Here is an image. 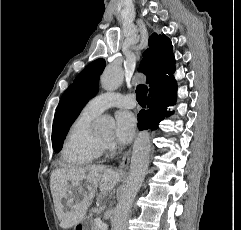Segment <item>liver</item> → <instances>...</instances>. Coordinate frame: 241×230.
Returning a JSON list of instances; mask_svg holds the SVG:
<instances>
[{"label": "liver", "mask_w": 241, "mask_h": 230, "mask_svg": "<svg viewBox=\"0 0 241 230\" xmlns=\"http://www.w3.org/2000/svg\"><path fill=\"white\" fill-rule=\"evenodd\" d=\"M120 174L104 165L79 168H59L51 174V192L60 227L69 229L79 224L91 205L97 188L102 194L112 190L120 181ZM73 191L76 195H73ZM77 197L81 199L76 200ZM67 201L68 210L62 201Z\"/></svg>", "instance_id": "1"}]
</instances>
